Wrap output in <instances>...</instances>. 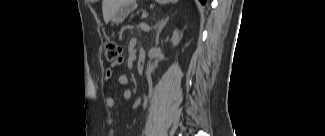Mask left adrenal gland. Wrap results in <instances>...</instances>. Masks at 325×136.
Instances as JSON below:
<instances>
[{"label": "left adrenal gland", "mask_w": 325, "mask_h": 136, "mask_svg": "<svg viewBox=\"0 0 325 136\" xmlns=\"http://www.w3.org/2000/svg\"><path fill=\"white\" fill-rule=\"evenodd\" d=\"M169 20V17H166L164 19H161L157 22V24L155 25V28L157 29V34H156V45L159 43V35L162 31V29L165 27V25L167 24Z\"/></svg>", "instance_id": "obj_1"}]
</instances>
